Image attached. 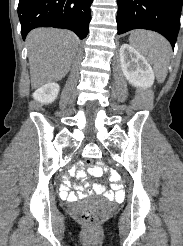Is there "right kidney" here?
<instances>
[{"instance_id": "ca27d5eb", "label": "right kidney", "mask_w": 183, "mask_h": 246, "mask_svg": "<svg viewBox=\"0 0 183 246\" xmlns=\"http://www.w3.org/2000/svg\"><path fill=\"white\" fill-rule=\"evenodd\" d=\"M59 90L57 83H47L33 93V98L41 103H52L57 98Z\"/></svg>"}]
</instances>
